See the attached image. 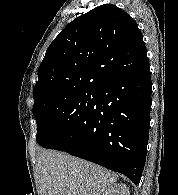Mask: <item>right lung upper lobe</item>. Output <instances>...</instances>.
Masks as SVG:
<instances>
[{
  "instance_id": "1",
  "label": "right lung upper lobe",
  "mask_w": 178,
  "mask_h": 195,
  "mask_svg": "<svg viewBox=\"0 0 178 195\" xmlns=\"http://www.w3.org/2000/svg\"><path fill=\"white\" fill-rule=\"evenodd\" d=\"M147 62L137 23L113 4L98 6L70 22L48 47L38 69L34 107L79 90L97 91Z\"/></svg>"
}]
</instances>
